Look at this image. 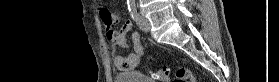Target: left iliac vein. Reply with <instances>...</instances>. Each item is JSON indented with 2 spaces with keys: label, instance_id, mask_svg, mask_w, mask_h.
Instances as JSON below:
<instances>
[{
  "label": "left iliac vein",
  "instance_id": "4c4485c4",
  "mask_svg": "<svg viewBox=\"0 0 279 82\" xmlns=\"http://www.w3.org/2000/svg\"><path fill=\"white\" fill-rule=\"evenodd\" d=\"M137 25L141 30H143L145 32L150 31V22L143 15L139 16V19L137 20Z\"/></svg>",
  "mask_w": 279,
  "mask_h": 82
}]
</instances>
